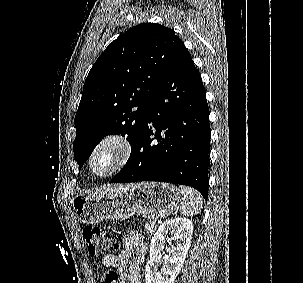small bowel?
I'll use <instances>...</instances> for the list:
<instances>
[{"instance_id":"obj_1","label":"small bowel","mask_w":303,"mask_h":283,"mask_svg":"<svg viewBox=\"0 0 303 283\" xmlns=\"http://www.w3.org/2000/svg\"><path fill=\"white\" fill-rule=\"evenodd\" d=\"M146 253L147 246L138 232L125 235L119 252L102 258L103 266L111 268L104 275L102 283H142L140 269ZM132 254L136 257L129 262Z\"/></svg>"}]
</instances>
